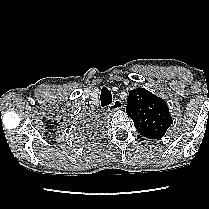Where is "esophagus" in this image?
Masks as SVG:
<instances>
[{"label":"esophagus","instance_id":"1","mask_svg":"<svg viewBox=\"0 0 209 209\" xmlns=\"http://www.w3.org/2000/svg\"><path fill=\"white\" fill-rule=\"evenodd\" d=\"M123 107V104L121 102V100L119 99H115L113 101V103L109 106V111H115V110H118V109H121Z\"/></svg>","mask_w":209,"mask_h":209}]
</instances>
